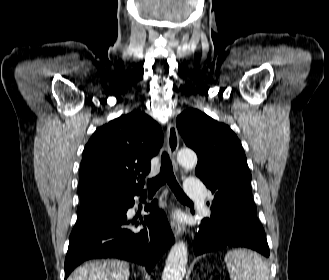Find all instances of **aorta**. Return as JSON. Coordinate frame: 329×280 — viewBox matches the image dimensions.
I'll return each instance as SVG.
<instances>
[{
    "label": "aorta",
    "mask_w": 329,
    "mask_h": 280,
    "mask_svg": "<svg viewBox=\"0 0 329 280\" xmlns=\"http://www.w3.org/2000/svg\"><path fill=\"white\" fill-rule=\"evenodd\" d=\"M179 164L191 169L197 164V156L191 150H180L177 154ZM187 245L179 241L173 245L166 260L162 280H183L187 264Z\"/></svg>",
    "instance_id": "1"
}]
</instances>
